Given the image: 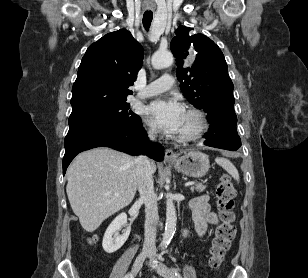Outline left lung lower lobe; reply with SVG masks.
I'll return each mask as SVG.
<instances>
[{"label":"left lung lower lobe","mask_w":308,"mask_h":278,"mask_svg":"<svg viewBox=\"0 0 308 278\" xmlns=\"http://www.w3.org/2000/svg\"><path fill=\"white\" fill-rule=\"evenodd\" d=\"M207 114L210 128L204 144L231 151L237 150L241 146V140L237 134V117L233 105H218Z\"/></svg>","instance_id":"0a47b994"}]
</instances>
